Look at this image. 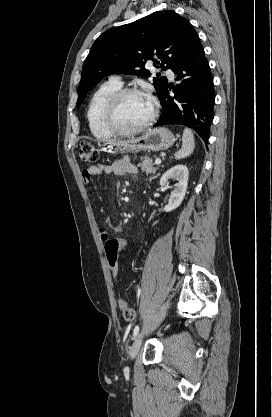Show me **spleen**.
Here are the masks:
<instances>
[{
  "label": "spleen",
  "instance_id": "obj_1",
  "mask_svg": "<svg viewBox=\"0 0 272 417\" xmlns=\"http://www.w3.org/2000/svg\"><path fill=\"white\" fill-rule=\"evenodd\" d=\"M195 148V140L193 132L190 129H184L182 136V147L174 156L175 159H183L190 156Z\"/></svg>",
  "mask_w": 272,
  "mask_h": 417
}]
</instances>
